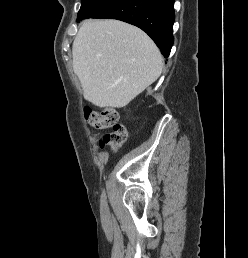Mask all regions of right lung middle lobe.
<instances>
[{"label": "right lung middle lobe", "instance_id": "dd1d6c3e", "mask_svg": "<svg viewBox=\"0 0 248 258\" xmlns=\"http://www.w3.org/2000/svg\"><path fill=\"white\" fill-rule=\"evenodd\" d=\"M114 1L115 0H82L77 21L79 22L82 19L94 17Z\"/></svg>", "mask_w": 248, "mask_h": 258}]
</instances>
